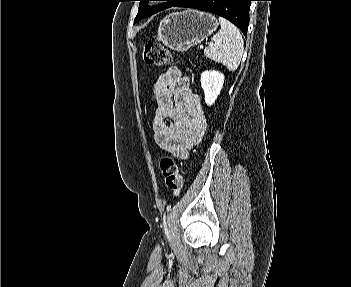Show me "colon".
Listing matches in <instances>:
<instances>
[{"label":"colon","mask_w":351,"mask_h":287,"mask_svg":"<svg viewBox=\"0 0 351 287\" xmlns=\"http://www.w3.org/2000/svg\"><path fill=\"white\" fill-rule=\"evenodd\" d=\"M142 58L146 65L165 66L171 62L169 51L159 43H149L144 47ZM160 168L165 178V183L173 197H177L182 189L183 180L177 162L169 156L160 161Z\"/></svg>","instance_id":"colon-1"}]
</instances>
